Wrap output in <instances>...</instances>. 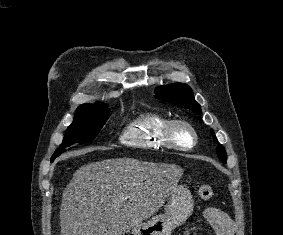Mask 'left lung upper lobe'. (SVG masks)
Wrapping results in <instances>:
<instances>
[{
  "label": "left lung upper lobe",
  "mask_w": 283,
  "mask_h": 235,
  "mask_svg": "<svg viewBox=\"0 0 283 235\" xmlns=\"http://www.w3.org/2000/svg\"><path fill=\"white\" fill-rule=\"evenodd\" d=\"M155 97L162 101H168L180 107L190 109L198 114L201 112V107L195 101L191 88L186 84L175 83L166 86H160L155 90ZM211 135L213 136L214 140L218 142L213 131H211ZM217 153L219 159L223 163H226L227 155L223 145H219L217 147Z\"/></svg>",
  "instance_id": "5c2ea615"
}]
</instances>
